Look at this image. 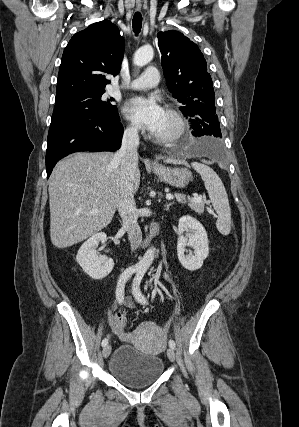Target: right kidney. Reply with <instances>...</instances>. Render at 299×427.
I'll return each instance as SVG.
<instances>
[{
	"instance_id": "1",
	"label": "right kidney",
	"mask_w": 299,
	"mask_h": 427,
	"mask_svg": "<svg viewBox=\"0 0 299 427\" xmlns=\"http://www.w3.org/2000/svg\"><path fill=\"white\" fill-rule=\"evenodd\" d=\"M106 237L103 232L93 235L82 244L76 256L83 271L96 280L106 277L114 267V261L111 258L98 256L95 250L100 242L106 241Z\"/></svg>"
}]
</instances>
